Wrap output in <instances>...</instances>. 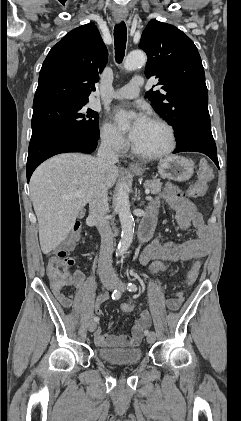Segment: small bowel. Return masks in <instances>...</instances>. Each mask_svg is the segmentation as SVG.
Masks as SVG:
<instances>
[{"label":"small bowel","instance_id":"small-bowel-1","mask_svg":"<svg viewBox=\"0 0 241 421\" xmlns=\"http://www.w3.org/2000/svg\"><path fill=\"white\" fill-rule=\"evenodd\" d=\"M159 199L164 200L175 212L176 220L182 230H188L193 227L195 230V238L181 243H174L158 237L150 245H148L141 255L142 264H149L154 260H164L168 263L189 262L194 261L198 269L200 268V260L209 252L210 235L202 215L197 211L196 207L190 202L174 185H167L161 193ZM158 202H155L150 208V215L155 216ZM77 289L83 286V274L76 271L72 282ZM63 287H55L52 285V291L58 302L66 309L73 306V296L65 294ZM107 299V294H102L99 301L103 302ZM184 301L183 293H176L172 298L167 300V307L171 311L177 310ZM150 322L148 312H142L136 319L130 335H116L111 330L108 333L102 332L98 328L95 332V342L102 347H126L132 348L139 345L145 327Z\"/></svg>","mask_w":241,"mask_h":421}]
</instances>
